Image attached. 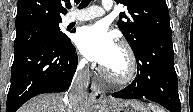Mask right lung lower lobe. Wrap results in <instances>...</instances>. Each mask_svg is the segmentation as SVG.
<instances>
[{
	"instance_id": "98d812e1",
	"label": "right lung lower lobe",
	"mask_w": 193,
	"mask_h": 112,
	"mask_svg": "<svg viewBox=\"0 0 193 112\" xmlns=\"http://www.w3.org/2000/svg\"><path fill=\"white\" fill-rule=\"evenodd\" d=\"M75 51L72 44L44 39L14 52L6 112L36 95L67 91L77 68Z\"/></svg>"
}]
</instances>
